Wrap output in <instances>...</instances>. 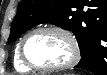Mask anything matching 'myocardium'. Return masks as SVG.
<instances>
[{
  "label": "myocardium",
  "instance_id": "f54148a6",
  "mask_svg": "<svg viewBox=\"0 0 107 75\" xmlns=\"http://www.w3.org/2000/svg\"><path fill=\"white\" fill-rule=\"evenodd\" d=\"M40 32H53L59 34L60 36L67 40L71 48V57L66 63L55 66H40L34 64L27 58L25 53L26 44L33 35ZM19 55L23 64L29 67L30 69L47 72V71H60L73 67L79 61L81 51L77 38L68 29L59 25H44L31 30L22 38L19 46Z\"/></svg>",
  "mask_w": 107,
  "mask_h": 75
}]
</instances>
